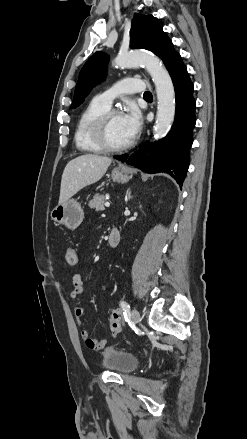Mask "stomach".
I'll use <instances>...</instances> for the list:
<instances>
[{"label":"stomach","mask_w":247,"mask_h":439,"mask_svg":"<svg viewBox=\"0 0 247 439\" xmlns=\"http://www.w3.org/2000/svg\"><path fill=\"white\" fill-rule=\"evenodd\" d=\"M131 177L130 172L126 169L115 168L111 173V178L116 182L126 183ZM51 218L58 224L74 230L81 224L84 212L81 205L72 199L58 204L52 210Z\"/></svg>","instance_id":"1"}]
</instances>
